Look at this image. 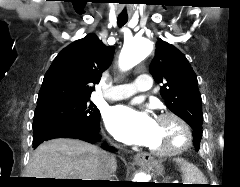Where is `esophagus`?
Listing matches in <instances>:
<instances>
[{"instance_id":"1","label":"esophagus","mask_w":240,"mask_h":187,"mask_svg":"<svg viewBox=\"0 0 240 187\" xmlns=\"http://www.w3.org/2000/svg\"><path fill=\"white\" fill-rule=\"evenodd\" d=\"M135 161L139 164H147L152 161V156L148 153H138L134 157Z\"/></svg>"}]
</instances>
